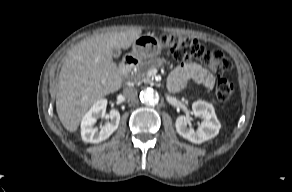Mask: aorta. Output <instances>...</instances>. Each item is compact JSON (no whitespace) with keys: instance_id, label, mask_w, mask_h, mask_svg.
I'll return each instance as SVG.
<instances>
[{"instance_id":"762f6f07","label":"aorta","mask_w":292,"mask_h":192,"mask_svg":"<svg viewBox=\"0 0 292 192\" xmlns=\"http://www.w3.org/2000/svg\"><path fill=\"white\" fill-rule=\"evenodd\" d=\"M140 100L142 103L153 106L156 105L159 101V95L158 93L152 89V88H147L140 93Z\"/></svg>"}]
</instances>
